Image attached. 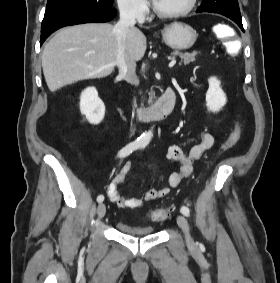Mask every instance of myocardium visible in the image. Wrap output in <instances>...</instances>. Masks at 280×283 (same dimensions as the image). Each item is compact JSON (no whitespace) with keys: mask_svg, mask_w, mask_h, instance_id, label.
<instances>
[{"mask_svg":"<svg viewBox=\"0 0 280 283\" xmlns=\"http://www.w3.org/2000/svg\"><path fill=\"white\" fill-rule=\"evenodd\" d=\"M196 3H197V0H189L187 6L184 9L176 11V12H171V13H164V12L159 11L156 8L154 3H153L152 7H153V12L159 18L176 19V18H180V17L186 16L187 14H189L194 9V7L196 6Z\"/></svg>","mask_w":280,"mask_h":283,"instance_id":"obj_1","label":"myocardium"}]
</instances>
